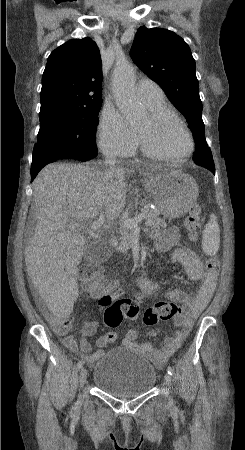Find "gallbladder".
I'll return each mask as SVG.
<instances>
[{
  "label": "gallbladder",
  "instance_id": "obj_1",
  "mask_svg": "<svg viewBox=\"0 0 245 450\" xmlns=\"http://www.w3.org/2000/svg\"><path fill=\"white\" fill-rule=\"evenodd\" d=\"M110 249L101 241L88 239L84 248V257L88 261H104Z\"/></svg>",
  "mask_w": 245,
  "mask_h": 450
}]
</instances>
